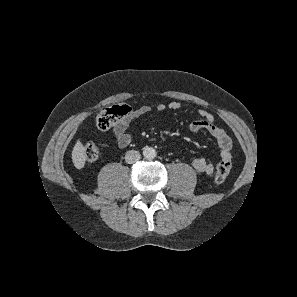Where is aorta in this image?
Returning a JSON list of instances; mask_svg holds the SVG:
<instances>
[{"instance_id": "762f6f07", "label": "aorta", "mask_w": 297, "mask_h": 297, "mask_svg": "<svg viewBox=\"0 0 297 297\" xmlns=\"http://www.w3.org/2000/svg\"><path fill=\"white\" fill-rule=\"evenodd\" d=\"M156 150L152 147H146L143 150V156L146 159H154L156 157Z\"/></svg>"}]
</instances>
